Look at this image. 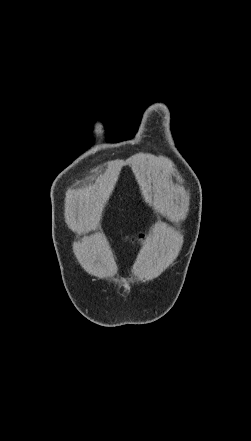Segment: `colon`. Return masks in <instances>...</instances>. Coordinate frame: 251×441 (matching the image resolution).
Returning <instances> with one entry per match:
<instances>
[{
  "label": "colon",
  "mask_w": 251,
  "mask_h": 441,
  "mask_svg": "<svg viewBox=\"0 0 251 441\" xmlns=\"http://www.w3.org/2000/svg\"><path fill=\"white\" fill-rule=\"evenodd\" d=\"M143 238V236L142 235H138V239H142Z\"/></svg>",
  "instance_id": "colon-1"
}]
</instances>
